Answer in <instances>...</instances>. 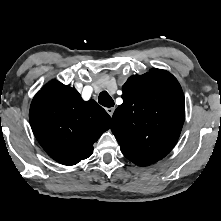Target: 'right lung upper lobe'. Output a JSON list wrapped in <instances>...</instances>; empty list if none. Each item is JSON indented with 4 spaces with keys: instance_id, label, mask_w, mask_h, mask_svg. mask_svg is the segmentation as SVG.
<instances>
[{
    "instance_id": "1",
    "label": "right lung upper lobe",
    "mask_w": 221,
    "mask_h": 221,
    "mask_svg": "<svg viewBox=\"0 0 221 221\" xmlns=\"http://www.w3.org/2000/svg\"><path fill=\"white\" fill-rule=\"evenodd\" d=\"M29 119L46 153L71 166L91 156L93 144L111 126V118L94 100L58 81L46 84L34 97Z\"/></svg>"
}]
</instances>
